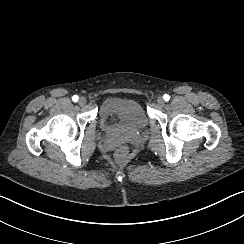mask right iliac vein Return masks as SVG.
I'll return each instance as SVG.
<instances>
[{
	"label": "right iliac vein",
	"instance_id": "right-iliac-vein-1",
	"mask_svg": "<svg viewBox=\"0 0 244 244\" xmlns=\"http://www.w3.org/2000/svg\"><path fill=\"white\" fill-rule=\"evenodd\" d=\"M86 103H87V100H86V98H84V97H81V98L79 99V104H80L81 106H84V105H86Z\"/></svg>",
	"mask_w": 244,
	"mask_h": 244
}]
</instances>
